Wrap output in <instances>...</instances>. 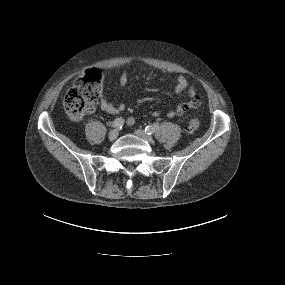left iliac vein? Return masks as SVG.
Instances as JSON below:
<instances>
[{"label": "left iliac vein", "mask_w": 285, "mask_h": 285, "mask_svg": "<svg viewBox=\"0 0 285 285\" xmlns=\"http://www.w3.org/2000/svg\"><path fill=\"white\" fill-rule=\"evenodd\" d=\"M135 134H136L137 136H139L140 138H142V139L148 141V142H152V141H153V137H152L151 135L147 134V133H146L145 131H143V130H140V129L135 130Z\"/></svg>", "instance_id": "4c4485c4"}]
</instances>
